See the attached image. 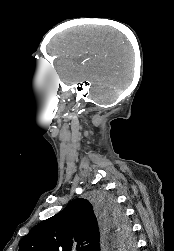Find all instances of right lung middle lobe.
<instances>
[{"instance_id": "1", "label": "right lung middle lobe", "mask_w": 174, "mask_h": 251, "mask_svg": "<svg viewBox=\"0 0 174 251\" xmlns=\"http://www.w3.org/2000/svg\"><path fill=\"white\" fill-rule=\"evenodd\" d=\"M92 202L104 227L112 236V245L123 250H132L134 243L129 239L130 228L123 211L112 197L108 193L100 191L93 196Z\"/></svg>"}]
</instances>
